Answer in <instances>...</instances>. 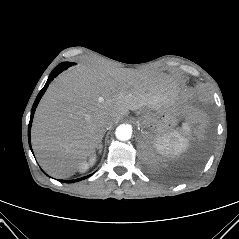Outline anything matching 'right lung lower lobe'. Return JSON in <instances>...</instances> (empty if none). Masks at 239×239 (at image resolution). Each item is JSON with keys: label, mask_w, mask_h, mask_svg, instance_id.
<instances>
[{"label": "right lung lower lobe", "mask_w": 239, "mask_h": 239, "mask_svg": "<svg viewBox=\"0 0 239 239\" xmlns=\"http://www.w3.org/2000/svg\"><path fill=\"white\" fill-rule=\"evenodd\" d=\"M59 73H60V72L57 71V70H55V68H54V70H53V71L51 72V74L49 75V78H48V80H47L45 86H44L43 89L40 91V93L38 94V96H37V98H36V100H35V102H34V104H33L32 111H31L30 122H29V127H28V140H29L30 148H31V143H30V130H31V125H32V120H33V115H34L35 109H36V107H37V105H38V103H39V101H40L42 95H43L44 92L46 91V89H47L49 83H50V82L54 79V77H56ZM89 176H90V175H89ZM89 176H86V177H83V178H79V179H76V180H71V181H64V180H61V181H62V182H70V183H72V182H77V181L86 179V178H88Z\"/></svg>", "instance_id": "1"}]
</instances>
